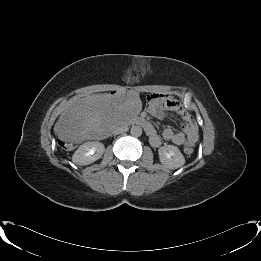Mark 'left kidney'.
<instances>
[{
  "instance_id": "5707ae66",
  "label": "left kidney",
  "mask_w": 261,
  "mask_h": 261,
  "mask_svg": "<svg viewBox=\"0 0 261 261\" xmlns=\"http://www.w3.org/2000/svg\"><path fill=\"white\" fill-rule=\"evenodd\" d=\"M158 154L162 165L169 169H177L185 164V158L183 154L174 145L160 147L158 149Z\"/></svg>"
}]
</instances>
